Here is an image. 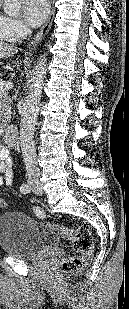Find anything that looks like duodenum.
Masks as SVG:
<instances>
[{
    "mask_svg": "<svg viewBox=\"0 0 129 309\" xmlns=\"http://www.w3.org/2000/svg\"><path fill=\"white\" fill-rule=\"evenodd\" d=\"M18 139V129L15 125H9L4 131V142L7 146H14Z\"/></svg>",
    "mask_w": 129,
    "mask_h": 309,
    "instance_id": "duodenum-1",
    "label": "duodenum"
}]
</instances>
